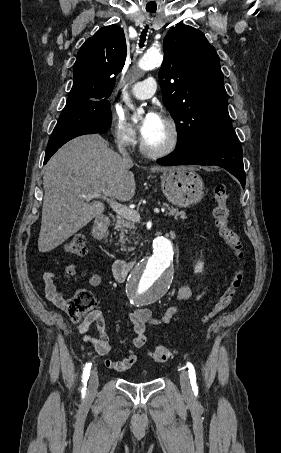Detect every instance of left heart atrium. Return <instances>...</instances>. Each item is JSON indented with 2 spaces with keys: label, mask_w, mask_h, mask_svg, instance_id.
Instances as JSON below:
<instances>
[{
  "label": "left heart atrium",
  "mask_w": 281,
  "mask_h": 453,
  "mask_svg": "<svg viewBox=\"0 0 281 453\" xmlns=\"http://www.w3.org/2000/svg\"><path fill=\"white\" fill-rule=\"evenodd\" d=\"M162 121L161 116L157 109L150 108L145 114L140 124V132L145 137L157 124Z\"/></svg>",
  "instance_id": "left-heart-atrium-1"
}]
</instances>
